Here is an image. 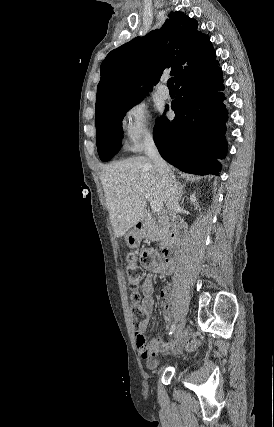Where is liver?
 <instances>
[{
	"instance_id": "obj_1",
	"label": "liver",
	"mask_w": 274,
	"mask_h": 427,
	"mask_svg": "<svg viewBox=\"0 0 274 427\" xmlns=\"http://www.w3.org/2000/svg\"><path fill=\"white\" fill-rule=\"evenodd\" d=\"M101 180L116 237H122L143 219L145 194L167 204L169 192L179 190L173 168H169V172H160L151 158L145 156L108 164L101 172Z\"/></svg>"
}]
</instances>
